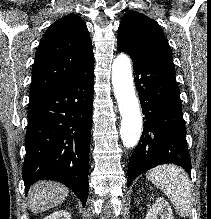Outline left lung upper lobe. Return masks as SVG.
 Masks as SVG:
<instances>
[{"instance_id": "5c2ea615", "label": "left lung upper lobe", "mask_w": 211, "mask_h": 219, "mask_svg": "<svg viewBox=\"0 0 211 219\" xmlns=\"http://www.w3.org/2000/svg\"><path fill=\"white\" fill-rule=\"evenodd\" d=\"M118 50L132 57L173 62L164 33L156 21L142 13L128 11L118 29Z\"/></svg>"}]
</instances>
